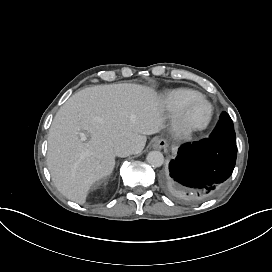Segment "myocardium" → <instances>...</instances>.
<instances>
[{
    "mask_svg": "<svg viewBox=\"0 0 272 272\" xmlns=\"http://www.w3.org/2000/svg\"><path fill=\"white\" fill-rule=\"evenodd\" d=\"M196 99L204 100L208 104L209 109H210L209 118H208L207 122L204 123V124H202V125H191V124H187L185 122V118H184L185 109L190 104H192ZM178 109H180V111H181L182 121L186 123V127H187V130L189 132H199V131L206 130L211 125V123L213 122L214 117H215V108H214V105L212 104V102L207 97H205L204 95H201V94H198L197 96H195L193 98H190V99H187V100L183 101L179 105ZM175 123L177 125L179 123V120L176 119Z\"/></svg>",
    "mask_w": 272,
    "mask_h": 272,
    "instance_id": "obj_1",
    "label": "myocardium"
}]
</instances>
